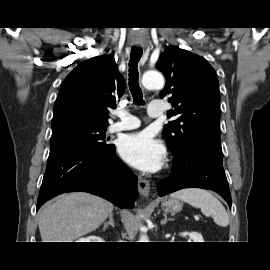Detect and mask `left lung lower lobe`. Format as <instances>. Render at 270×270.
Instances as JSON below:
<instances>
[{"label":"left lung lower lobe","instance_id":"0a47b994","mask_svg":"<svg viewBox=\"0 0 270 270\" xmlns=\"http://www.w3.org/2000/svg\"><path fill=\"white\" fill-rule=\"evenodd\" d=\"M222 159V149L192 145L174 156L172 173L157 185L159 196L183 188H203L219 193L231 209V194Z\"/></svg>","mask_w":270,"mask_h":270}]
</instances>
